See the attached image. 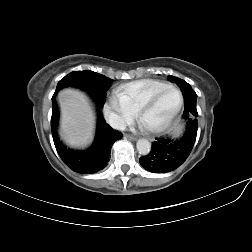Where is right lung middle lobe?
<instances>
[{"label": "right lung middle lobe", "instance_id": "1", "mask_svg": "<svg viewBox=\"0 0 252 252\" xmlns=\"http://www.w3.org/2000/svg\"><path fill=\"white\" fill-rule=\"evenodd\" d=\"M111 83L112 79L93 71H74L58 82L52 100H54L56 93L60 89L71 86L86 91L96 101L98 106H103L106 98V91Z\"/></svg>", "mask_w": 252, "mask_h": 252}]
</instances>
